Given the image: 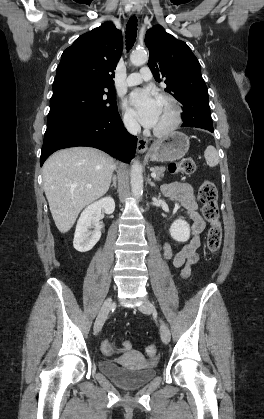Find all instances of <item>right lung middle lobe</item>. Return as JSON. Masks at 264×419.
Masks as SVG:
<instances>
[{
	"mask_svg": "<svg viewBox=\"0 0 264 419\" xmlns=\"http://www.w3.org/2000/svg\"><path fill=\"white\" fill-rule=\"evenodd\" d=\"M117 112L114 91L86 86H67L54 91L50 100L47 126L67 114L105 115Z\"/></svg>",
	"mask_w": 264,
	"mask_h": 419,
	"instance_id": "right-lung-middle-lobe-1",
	"label": "right lung middle lobe"
}]
</instances>
